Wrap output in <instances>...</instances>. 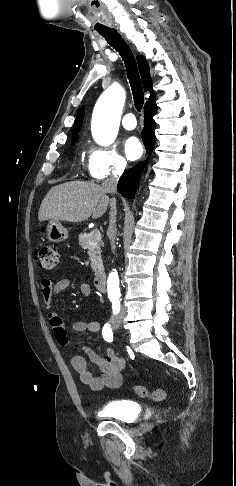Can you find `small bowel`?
I'll return each mask as SVG.
<instances>
[{
	"instance_id": "small-bowel-1",
	"label": "small bowel",
	"mask_w": 236,
	"mask_h": 486,
	"mask_svg": "<svg viewBox=\"0 0 236 486\" xmlns=\"http://www.w3.org/2000/svg\"><path fill=\"white\" fill-rule=\"evenodd\" d=\"M41 292L44 301V308L50 311L53 307V298L60 292L65 291L71 286L69 279H61L55 283L47 278L41 280ZM79 289L82 294L88 296L92 293L91 287L87 283H80ZM49 323L54 334L61 345L68 343L63 319L55 312L48 313ZM75 332H98L101 325L98 321H76L72 326ZM86 356L101 370V375L97 376L88 367L87 360L82 355H74L71 358L73 369L79 374L81 381L94 391L105 388H119L123 381V371L126 367L125 360L112 350H106L103 354L100 347L96 350L91 347H83Z\"/></svg>"
}]
</instances>
